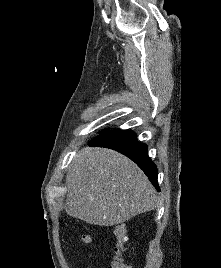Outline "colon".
<instances>
[{"label":"colon","mask_w":221,"mask_h":268,"mask_svg":"<svg viewBox=\"0 0 221 268\" xmlns=\"http://www.w3.org/2000/svg\"><path fill=\"white\" fill-rule=\"evenodd\" d=\"M114 233L117 239V246L115 249L116 257L109 268H127L128 265L123 259V252L125 250V244L127 242V232L124 225H117L114 229ZM92 240L90 234H83L81 241L88 244Z\"/></svg>","instance_id":"5ec220e1"}]
</instances>
